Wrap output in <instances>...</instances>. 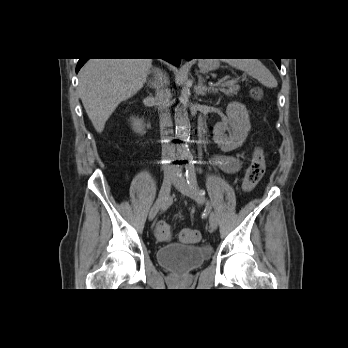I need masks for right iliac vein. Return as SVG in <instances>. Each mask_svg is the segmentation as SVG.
Returning a JSON list of instances; mask_svg holds the SVG:
<instances>
[{
	"mask_svg": "<svg viewBox=\"0 0 348 348\" xmlns=\"http://www.w3.org/2000/svg\"><path fill=\"white\" fill-rule=\"evenodd\" d=\"M174 180L175 179L170 176H167L164 178L159 195H158V199L156 200V202L150 209L149 216H148L149 220H153L155 216L157 215V213L159 212L163 202L166 200V198L168 197L170 193L171 185L174 182Z\"/></svg>",
	"mask_w": 348,
	"mask_h": 348,
	"instance_id": "right-iliac-vein-1",
	"label": "right iliac vein"
}]
</instances>
